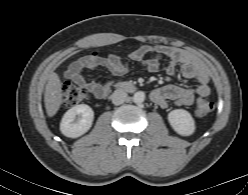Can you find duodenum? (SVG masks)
Here are the masks:
<instances>
[{"mask_svg":"<svg viewBox=\"0 0 248 195\" xmlns=\"http://www.w3.org/2000/svg\"><path fill=\"white\" fill-rule=\"evenodd\" d=\"M122 87L125 88L126 90H133V86L128 83L123 84Z\"/></svg>","mask_w":248,"mask_h":195,"instance_id":"1","label":"duodenum"}]
</instances>
